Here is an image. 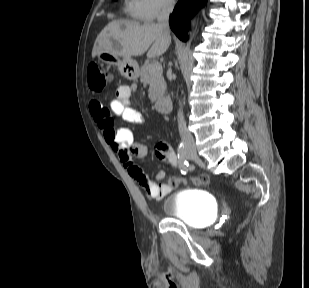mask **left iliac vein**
Masks as SVG:
<instances>
[{"label": "left iliac vein", "instance_id": "1", "mask_svg": "<svg viewBox=\"0 0 309 288\" xmlns=\"http://www.w3.org/2000/svg\"><path fill=\"white\" fill-rule=\"evenodd\" d=\"M186 156V158H188V159H194L195 157H196V152H194L193 154H191V155H185Z\"/></svg>", "mask_w": 309, "mask_h": 288}]
</instances>
